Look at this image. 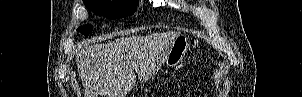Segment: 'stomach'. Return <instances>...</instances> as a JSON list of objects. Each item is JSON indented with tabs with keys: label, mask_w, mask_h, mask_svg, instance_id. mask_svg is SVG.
Wrapping results in <instances>:
<instances>
[{
	"label": "stomach",
	"mask_w": 302,
	"mask_h": 97,
	"mask_svg": "<svg viewBox=\"0 0 302 97\" xmlns=\"http://www.w3.org/2000/svg\"><path fill=\"white\" fill-rule=\"evenodd\" d=\"M190 49V41L187 36L179 35L171 45L164 63L167 68L177 67Z\"/></svg>",
	"instance_id": "0dacf381"
}]
</instances>
